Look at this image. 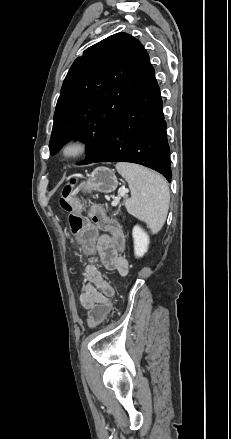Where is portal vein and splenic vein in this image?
I'll return each mask as SVG.
<instances>
[{
    "instance_id": "portal-vein-and-splenic-vein-1",
    "label": "portal vein and splenic vein",
    "mask_w": 231,
    "mask_h": 439,
    "mask_svg": "<svg viewBox=\"0 0 231 439\" xmlns=\"http://www.w3.org/2000/svg\"><path fill=\"white\" fill-rule=\"evenodd\" d=\"M124 195H125V192H121V193H120V196H121V197H123ZM114 203H116V201H115Z\"/></svg>"
}]
</instances>
